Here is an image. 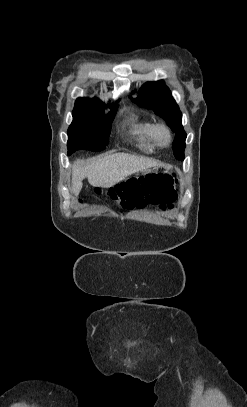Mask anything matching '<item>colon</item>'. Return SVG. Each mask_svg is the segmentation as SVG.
I'll use <instances>...</instances> for the list:
<instances>
[{"label": "colon", "instance_id": "colon-1", "mask_svg": "<svg viewBox=\"0 0 247 407\" xmlns=\"http://www.w3.org/2000/svg\"><path fill=\"white\" fill-rule=\"evenodd\" d=\"M174 174H149L132 178L110 188L107 195L127 210L142 209L151 203H171L177 198ZM99 193V190H96Z\"/></svg>", "mask_w": 247, "mask_h": 407}]
</instances>
